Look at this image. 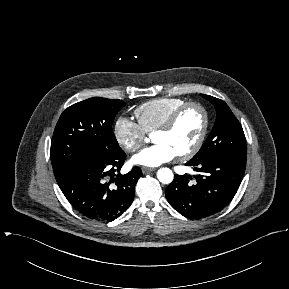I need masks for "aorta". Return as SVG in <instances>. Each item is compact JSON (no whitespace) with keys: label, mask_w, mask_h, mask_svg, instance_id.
Segmentation results:
<instances>
[{"label":"aorta","mask_w":289,"mask_h":289,"mask_svg":"<svg viewBox=\"0 0 289 289\" xmlns=\"http://www.w3.org/2000/svg\"><path fill=\"white\" fill-rule=\"evenodd\" d=\"M173 178L174 174L169 168H161L157 171V179L163 184H170Z\"/></svg>","instance_id":"aorta-1"}]
</instances>
